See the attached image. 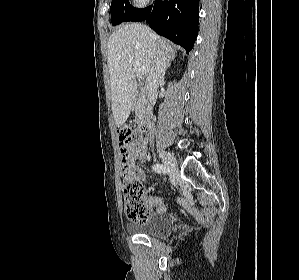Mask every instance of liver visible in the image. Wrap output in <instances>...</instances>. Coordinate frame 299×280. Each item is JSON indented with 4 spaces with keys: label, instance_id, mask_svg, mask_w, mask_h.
Instances as JSON below:
<instances>
[{
    "label": "liver",
    "instance_id": "obj_1",
    "mask_svg": "<svg viewBox=\"0 0 299 280\" xmlns=\"http://www.w3.org/2000/svg\"><path fill=\"white\" fill-rule=\"evenodd\" d=\"M157 51L169 56L171 45L143 24L131 23L113 32L108 41L112 112L116 126L128 119L136 95L137 82L133 63L138 62L150 73Z\"/></svg>",
    "mask_w": 299,
    "mask_h": 280
}]
</instances>
